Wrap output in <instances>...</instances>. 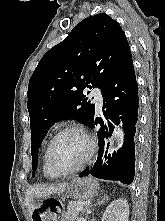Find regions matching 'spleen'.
<instances>
[{"label": "spleen", "mask_w": 165, "mask_h": 221, "mask_svg": "<svg viewBox=\"0 0 165 221\" xmlns=\"http://www.w3.org/2000/svg\"><path fill=\"white\" fill-rule=\"evenodd\" d=\"M104 200H108V198H107V197H104Z\"/></svg>", "instance_id": "1"}]
</instances>
